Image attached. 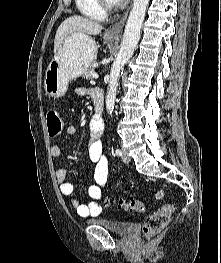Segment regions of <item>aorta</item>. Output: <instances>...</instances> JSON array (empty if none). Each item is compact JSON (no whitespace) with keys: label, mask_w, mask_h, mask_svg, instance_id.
<instances>
[{"label":"aorta","mask_w":221,"mask_h":263,"mask_svg":"<svg viewBox=\"0 0 221 263\" xmlns=\"http://www.w3.org/2000/svg\"><path fill=\"white\" fill-rule=\"evenodd\" d=\"M148 3L149 0H133L132 9L125 26L120 50L111 67L108 91L106 95V109L109 114H112L114 110L120 72L124 65L132 57L139 42L141 27Z\"/></svg>","instance_id":"obj_1"}]
</instances>
